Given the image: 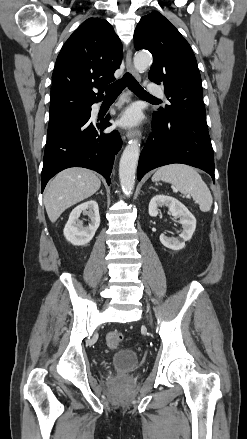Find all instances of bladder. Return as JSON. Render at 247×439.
Here are the masks:
<instances>
[{"instance_id": "obj_1", "label": "bladder", "mask_w": 247, "mask_h": 439, "mask_svg": "<svg viewBox=\"0 0 247 439\" xmlns=\"http://www.w3.org/2000/svg\"><path fill=\"white\" fill-rule=\"evenodd\" d=\"M112 364L119 372H129L139 365V356L132 349H123L114 353Z\"/></svg>"}]
</instances>
